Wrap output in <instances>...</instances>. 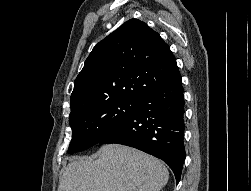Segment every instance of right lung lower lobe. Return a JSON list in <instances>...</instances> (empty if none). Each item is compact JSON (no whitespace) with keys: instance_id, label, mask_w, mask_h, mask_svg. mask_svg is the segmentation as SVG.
Masks as SVG:
<instances>
[{"instance_id":"98d812e1","label":"right lung lower lobe","mask_w":251,"mask_h":191,"mask_svg":"<svg viewBox=\"0 0 251 191\" xmlns=\"http://www.w3.org/2000/svg\"><path fill=\"white\" fill-rule=\"evenodd\" d=\"M183 93L179 75L140 98L137 109L99 143L131 146L162 159L178 183L186 156Z\"/></svg>"}]
</instances>
